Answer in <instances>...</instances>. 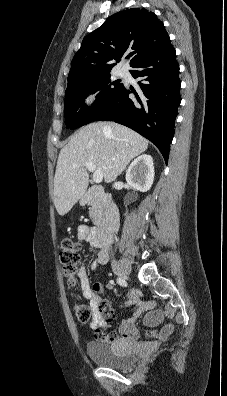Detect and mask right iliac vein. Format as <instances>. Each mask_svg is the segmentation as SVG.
Here are the masks:
<instances>
[{
    "instance_id": "63e3f726",
    "label": "right iliac vein",
    "mask_w": 227,
    "mask_h": 396,
    "mask_svg": "<svg viewBox=\"0 0 227 396\" xmlns=\"http://www.w3.org/2000/svg\"><path fill=\"white\" fill-rule=\"evenodd\" d=\"M114 272L122 279L127 280L129 278L130 269L126 261L114 262L113 265Z\"/></svg>"
}]
</instances>
